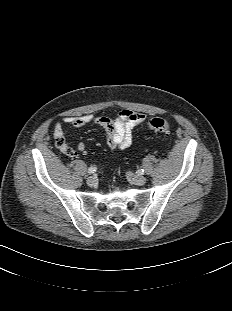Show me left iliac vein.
<instances>
[{"mask_svg": "<svg viewBox=\"0 0 232 311\" xmlns=\"http://www.w3.org/2000/svg\"><path fill=\"white\" fill-rule=\"evenodd\" d=\"M127 178L136 185L142 186L146 183V178L143 176H137L132 172L128 171L126 173Z\"/></svg>", "mask_w": 232, "mask_h": 311, "instance_id": "4c4485c4", "label": "left iliac vein"}]
</instances>
